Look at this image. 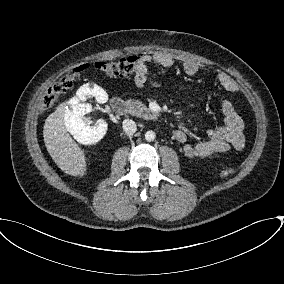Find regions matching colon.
<instances>
[{"mask_svg":"<svg viewBox=\"0 0 284 284\" xmlns=\"http://www.w3.org/2000/svg\"><path fill=\"white\" fill-rule=\"evenodd\" d=\"M140 60V57L129 56L114 61L97 62L95 66L110 77H126L136 72L137 67L140 64ZM88 67L89 65H82L74 68L54 83L43 97L41 110L45 111L49 109L63 93L70 89L74 83L79 80L80 76L88 69ZM233 171L232 167L225 166L222 169L221 174L223 176H228L232 174Z\"/></svg>","mask_w":284,"mask_h":284,"instance_id":"5ec220e1","label":"colon"}]
</instances>
